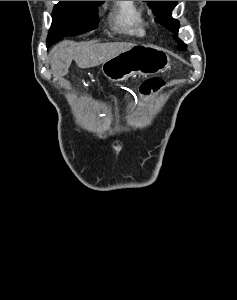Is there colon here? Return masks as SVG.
Wrapping results in <instances>:
<instances>
[{"label":"colon","mask_w":237,"mask_h":300,"mask_svg":"<svg viewBox=\"0 0 237 300\" xmlns=\"http://www.w3.org/2000/svg\"><path fill=\"white\" fill-rule=\"evenodd\" d=\"M164 86V80L161 78H150L144 81L140 86V93L147 96L155 93Z\"/></svg>","instance_id":"1"}]
</instances>
